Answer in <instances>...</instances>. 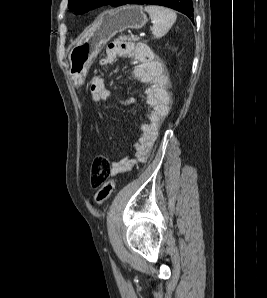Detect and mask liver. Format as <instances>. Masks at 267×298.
Listing matches in <instances>:
<instances>
[{
	"mask_svg": "<svg viewBox=\"0 0 267 298\" xmlns=\"http://www.w3.org/2000/svg\"><path fill=\"white\" fill-rule=\"evenodd\" d=\"M96 28V25H94L92 28H90L83 36L82 38L78 41L77 44L81 43L85 38L89 37L92 31Z\"/></svg>",
	"mask_w": 267,
	"mask_h": 298,
	"instance_id": "1",
	"label": "liver"
}]
</instances>
